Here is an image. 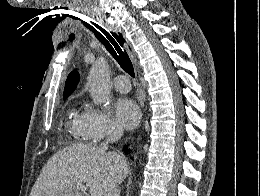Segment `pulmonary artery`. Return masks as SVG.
<instances>
[{"label": "pulmonary artery", "mask_w": 260, "mask_h": 196, "mask_svg": "<svg viewBox=\"0 0 260 196\" xmlns=\"http://www.w3.org/2000/svg\"><path fill=\"white\" fill-rule=\"evenodd\" d=\"M109 83L118 84L115 89L119 92L125 93L129 91V88L126 87L129 86L128 76H115V79H110Z\"/></svg>", "instance_id": "e3ab8cb5"}]
</instances>
